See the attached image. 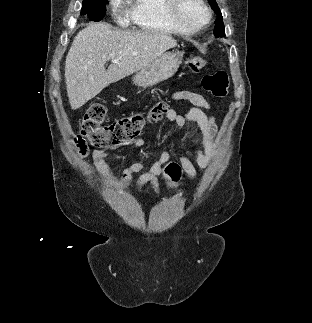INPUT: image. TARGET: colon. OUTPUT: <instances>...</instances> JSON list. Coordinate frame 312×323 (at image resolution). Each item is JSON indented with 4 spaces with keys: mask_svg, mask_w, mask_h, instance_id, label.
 <instances>
[{
    "mask_svg": "<svg viewBox=\"0 0 312 323\" xmlns=\"http://www.w3.org/2000/svg\"><path fill=\"white\" fill-rule=\"evenodd\" d=\"M207 64V60L195 57L189 62L192 73L199 72ZM204 90L214 97L226 98L228 96L229 78L224 69H215L202 79ZM166 113V107L162 101L157 102L146 112L145 115H133L106 122L107 108L102 103L92 104L85 115L81 118V139H87L94 148L110 147L127 140L139 137L146 125L158 121ZM76 158H85L84 141H75ZM169 165V166H168ZM164 168L167 182H179V172L182 165H177L176 160H169Z\"/></svg>",
    "mask_w": 312,
    "mask_h": 323,
    "instance_id": "colon-1",
    "label": "colon"
}]
</instances>
